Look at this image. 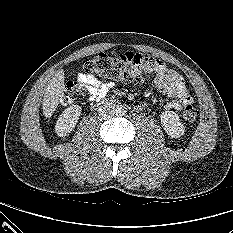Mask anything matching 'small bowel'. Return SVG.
I'll return each mask as SVG.
<instances>
[{
  "instance_id": "obj_1",
  "label": "small bowel",
  "mask_w": 233,
  "mask_h": 233,
  "mask_svg": "<svg viewBox=\"0 0 233 233\" xmlns=\"http://www.w3.org/2000/svg\"><path fill=\"white\" fill-rule=\"evenodd\" d=\"M124 57L139 61V70L155 73L154 83L158 90L173 100L166 103L168 110H181L183 107L191 105L192 97L188 93L182 76L175 70L167 68L165 63L150 55L127 53ZM77 80L88 93L89 101H101L114 86L112 82L102 81L93 74L79 73ZM144 105H139L142 110Z\"/></svg>"
}]
</instances>
